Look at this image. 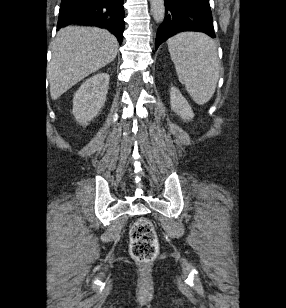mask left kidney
<instances>
[{
  "label": "left kidney",
  "instance_id": "5707ae66",
  "mask_svg": "<svg viewBox=\"0 0 286 308\" xmlns=\"http://www.w3.org/2000/svg\"><path fill=\"white\" fill-rule=\"evenodd\" d=\"M170 104L172 110L183 120H190L194 117L191 106L176 87L170 90Z\"/></svg>",
  "mask_w": 286,
  "mask_h": 308
}]
</instances>
